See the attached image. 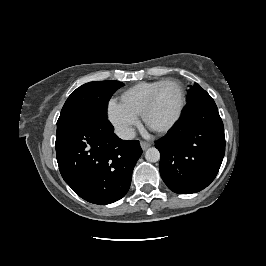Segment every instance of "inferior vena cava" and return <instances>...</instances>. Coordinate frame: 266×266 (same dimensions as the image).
I'll return each mask as SVG.
<instances>
[{
	"instance_id": "obj_1",
	"label": "inferior vena cava",
	"mask_w": 266,
	"mask_h": 266,
	"mask_svg": "<svg viewBox=\"0 0 266 266\" xmlns=\"http://www.w3.org/2000/svg\"><path fill=\"white\" fill-rule=\"evenodd\" d=\"M116 135L124 140H131L135 138V131L131 127H117L115 129Z\"/></svg>"
}]
</instances>
